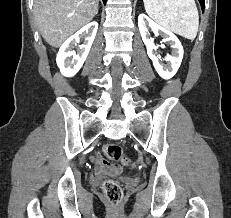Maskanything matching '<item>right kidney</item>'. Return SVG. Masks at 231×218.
I'll use <instances>...</instances> for the list:
<instances>
[{
	"instance_id": "1",
	"label": "right kidney",
	"mask_w": 231,
	"mask_h": 218,
	"mask_svg": "<svg viewBox=\"0 0 231 218\" xmlns=\"http://www.w3.org/2000/svg\"><path fill=\"white\" fill-rule=\"evenodd\" d=\"M97 29L98 23L93 21L68 38L60 47L56 62L62 75L71 77L80 70L88 56ZM81 37H84V44L79 45V49L75 52L74 45L80 41Z\"/></svg>"
}]
</instances>
